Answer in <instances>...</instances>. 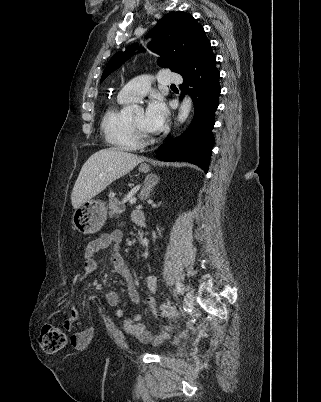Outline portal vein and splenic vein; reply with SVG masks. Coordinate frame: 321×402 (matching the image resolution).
I'll list each match as a JSON object with an SVG mask.
<instances>
[{"instance_id":"1","label":"portal vein and splenic vein","mask_w":321,"mask_h":402,"mask_svg":"<svg viewBox=\"0 0 321 402\" xmlns=\"http://www.w3.org/2000/svg\"><path fill=\"white\" fill-rule=\"evenodd\" d=\"M128 201H129L130 204H135L136 203V198L135 197H130L128 199Z\"/></svg>"}]
</instances>
